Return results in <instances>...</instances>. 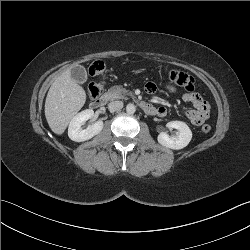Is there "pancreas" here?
Listing matches in <instances>:
<instances>
[{
	"mask_svg": "<svg viewBox=\"0 0 250 250\" xmlns=\"http://www.w3.org/2000/svg\"><path fill=\"white\" fill-rule=\"evenodd\" d=\"M107 94L111 100L127 99L126 95H132V92L129 90H126L122 86H113L108 90Z\"/></svg>",
	"mask_w": 250,
	"mask_h": 250,
	"instance_id": "cf45deb5",
	"label": "pancreas"
}]
</instances>
